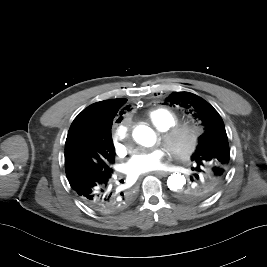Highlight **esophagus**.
<instances>
[{"mask_svg": "<svg viewBox=\"0 0 267 267\" xmlns=\"http://www.w3.org/2000/svg\"><path fill=\"white\" fill-rule=\"evenodd\" d=\"M152 174L166 177V176H168L170 173L167 172V171H154Z\"/></svg>", "mask_w": 267, "mask_h": 267, "instance_id": "esophagus-1", "label": "esophagus"}]
</instances>
